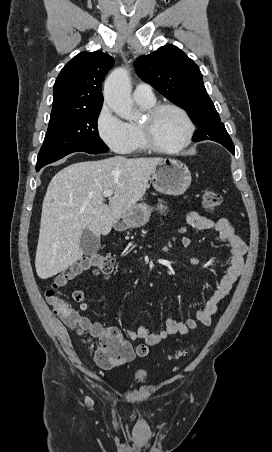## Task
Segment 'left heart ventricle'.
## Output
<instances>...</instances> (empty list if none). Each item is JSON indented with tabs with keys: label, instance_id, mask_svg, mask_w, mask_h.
<instances>
[{
	"label": "left heart ventricle",
	"instance_id": "left-heart-ventricle-1",
	"mask_svg": "<svg viewBox=\"0 0 272 452\" xmlns=\"http://www.w3.org/2000/svg\"><path fill=\"white\" fill-rule=\"evenodd\" d=\"M151 136L162 146L172 147L180 143L186 132L182 116L174 110L160 111L150 123Z\"/></svg>",
	"mask_w": 272,
	"mask_h": 452
}]
</instances>
